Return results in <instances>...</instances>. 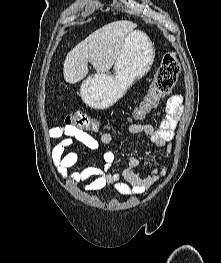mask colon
<instances>
[{"label": "colon", "instance_id": "colon-1", "mask_svg": "<svg viewBox=\"0 0 221 263\" xmlns=\"http://www.w3.org/2000/svg\"><path fill=\"white\" fill-rule=\"evenodd\" d=\"M180 72V63L174 52L165 53L161 64L141 103L136 107L133 116L136 119L144 117L155 108L160 100L172 91ZM66 126L86 133L98 131L97 122L81 110L74 111L66 117Z\"/></svg>", "mask_w": 221, "mask_h": 263}]
</instances>
